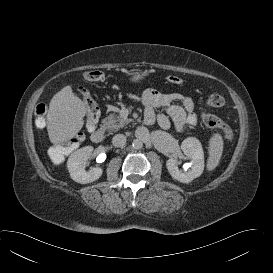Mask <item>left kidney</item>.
I'll return each instance as SVG.
<instances>
[{"mask_svg":"<svg viewBox=\"0 0 273 273\" xmlns=\"http://www.w3.org/2000/svg\"><path fill=\"white\" fill-rule=\"evenodd\" d=\"M180 147L187 158L191 159L190 169H179L174 157L167 160L166 167L173 179L189 183L203 173L204 152L200 141L195 137L186 138Z\"/></svg>","mask_w":273,"mask_h":273,"instance_id":"5707ae66","label":"left kidney"}]
</instances>
